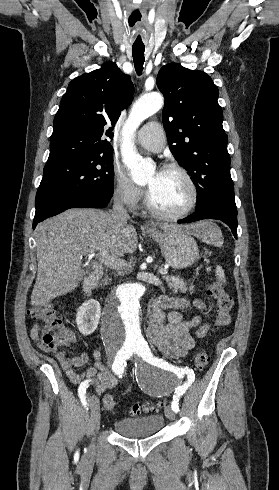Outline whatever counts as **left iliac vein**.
<instances>
[{"label": "left iliac vein", "instance_id": "1", "mask_svg": "<svg viewBox=\"0 0 279 490\" xmlns=\"http://www.w3.org/2000/svg\"><path fill=\"white\" fill-rule=\"evenodd\" d=\"M165 414L167 416V418H169L170 420H175V413L173 412V410L168 406L166 407L165 409Z\"/></svg>", "mask_w": 279, "mask_h": 490}]
</instances>
